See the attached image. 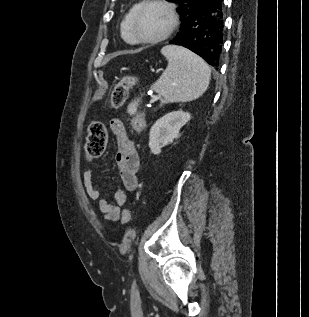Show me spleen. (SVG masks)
Here are the masks:
<instances>
[{"label":"spleen","mask_w":309,"mask_h":317,"mask_svg":"<svg viewBox=\"0 0 309 317\" xmlns=\"http://www.w3.org/2000/svg\"><path fill=\"white\" fill-rule=\"evenodd\" d=\"M168 65L160 78L151 86L162 97L160 106L166 103L188 102L203 95L211 77L209 65L198 55L176 45L161 49ZM138 101L128 106L130 115L136 112Z\"/></svg>","instance_id":"3e777b00"}]
</instances>
